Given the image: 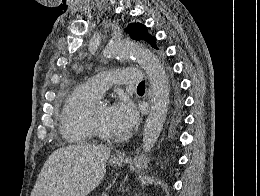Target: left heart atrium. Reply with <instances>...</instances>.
Segmentation results:
<instances>
[{
  "mask_svg": "<svg viewBox=\"0 0 260 196\" xmlns=\"http://www.w3.org/2000/svg\"><path fill=\"white\" fill-rule=\"evenodd\" d=\"M110 119L118 133L126 134L137 124L139 116L135 105L122 97L110 106Z\"/></svg>",
  "mask_w": 260,
  "mask_h": 196,
  "instance_id": "39dd6f15",
  "label": "left heart atrium"
}]
</instances>
